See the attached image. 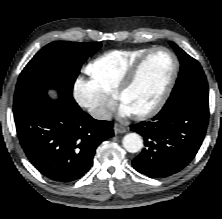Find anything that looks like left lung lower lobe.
<instances>
[{"mask_svg": "<svg viewBox=\"0 0 222 219\" xmlns=\"http://www.w3.org/2000/svg\"><path fill=\"white\" fill-rule=\"evenodd\" d=\"M208 119L209 104L206 102L189 96L167 101L151 121L131 126L145 142V148L132 165L151 178L179 172L198 152Z\"/></svg>", "mask_w": 222, "mask_h": 219, "instance_id": "1", "label": "left lung lower lobe"}]
</instances>
